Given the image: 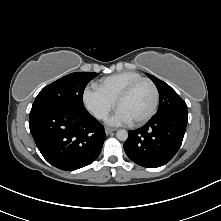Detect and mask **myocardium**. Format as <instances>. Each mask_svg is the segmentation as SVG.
I'll use <instances>...</instances> for the list:
<instances>
[{
	"mask_svg": "<svg viewBox=\"0 0 221 221\" xmlns=\"http://www.w3.org/2000/svg\"><path fill=\"white\" fill-rule=\"evenodd\" d=\"M147 82L149 83L154 91V102H153V106L151 108V110L148 112V114H146L144 117L136 120V121H131V123L135 126H139L142 125L146 122H148L156 113L157 108H158V104H159V90L157 85L154 83V81H152L149 78H141L138 79L134 82H132L131 84H129L118 96L117 100H116V106L119 108V105L121 104L122 101H124L133 91L134 89L140 85L141 83Z\"/></svg>",
	"mask_w": 221,
	"mask_h": 221,
	"instance_id": "obj_1",
	"label": "myocardium"
}]
</instances>
